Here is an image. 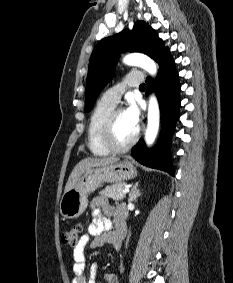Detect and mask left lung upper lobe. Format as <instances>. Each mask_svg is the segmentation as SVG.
Returning a JSON list of instances; mask_svg holds the SVG:
<instances>
[{"instance_id":"obj_1","label":"left lung upper lobe","mask_w":233,"mask_h":283,"mask_svg":"<svg viewBox=\"0 0 233 283\" xmlns=\"http://www.w3.org/2000/svg\"><path fill=\"white\" fill-rule=\"evenodd\" d=\"M167 50L156 31L143 21H137L131 31L124 30L99 41L89 61L85 111L91 110L102 88L111 80L120 53L141 52L158 62Z\"/></svg>"}]
</instances>
